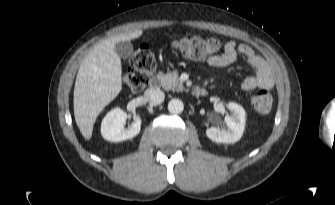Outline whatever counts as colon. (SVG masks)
Listing matches in <instances>:
<instances>
[{
  "mask_svg": "<svg viewBox=\"0 0 335 205\" xmlns=\"http://www.w3.org/2000/svg\"><path fill=\"white\" fill-rule=\"evenodd\" d=\"M219 46V42L211 38L193 36L182 41L183 52L196 59L210 57ZM129 63L126 84L134 92L141 91L148 85L155 68V55L147 44H143L134 52ZM254 103L258 109L267 110L271 106V96L268 92L261 91L255 96Z\"/></svg>",
  "mask_w": 335,
  "mask_h": 205,
  "instance_id": "5ec220e1",
  "label": "colon"
}]
</instances>
